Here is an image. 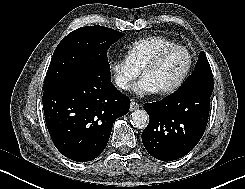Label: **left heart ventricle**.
Listing matches in <instances>:
<instances>
[{
	"mask_svg": "<svg viewBox=\"0 0 245 189\" xmlns=\"http://www.w3.org/2000/svg\"><path fill=\"white\" fill-rule=\"evenodd\" d=\"M188 57L182 49L170 51L155 68L145 72L146 78L156 89L161 91L173 85L187 68Z\"/></svg>",
	"mask_w": 245,
	"mask_h": 189,
	"instance_id": "1",
	"label": "left heart ventricle"
}]
</instances>
